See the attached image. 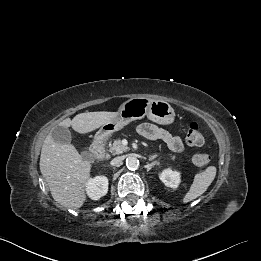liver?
Masks as SVG:
<instances>
[{
  "instance_id": "1",
  "label": "liver",
  "mask_w": 261,
  "mask_h": 261,
  "mask_svg": "<svg viewBox=\"0 0 261 261\" xmlns=\"http://www.w3.org/2000/svg\"><path fill=\"white\" fill-rule=\"evenodd\" d=\"M118 116V112H87L67 118L59 125L72 127L80 134L92 132ZM90 160H83L71 144L54 141L49 133L41 149L40 171L52 197L59 204L76 209L86 201V183L90 177Z\"/></svg>"
}]
</instances>
